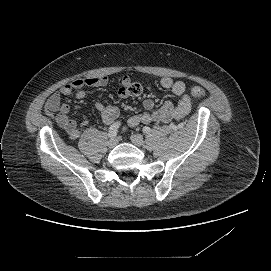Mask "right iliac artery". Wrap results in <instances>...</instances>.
<instances>
[{"label":"right iliac artery","mask_w":271,"mask_h":271,"mask_svg":"<svg viewBox=\"0 0 271 271\" xmlns=\"http://www.w3.org/2000/svg\"><path fill=\"white\" fill-rule=\"evenodd\" d=\"M120 126V122H115L111 127L109 128L108 131V136L112 139L115 138L118 132V128Z\"/></svg>","instance_id":"1"}]
</instances>
